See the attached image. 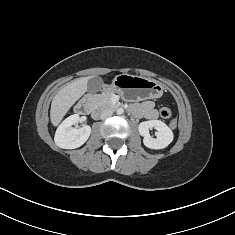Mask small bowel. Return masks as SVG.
<instances>
[{
    "mask_svg": "<svg viewBox=\"0 0 235 235\" xmlns=\"http://www.w3.org/2000/svg\"><path fill=\"white\" fill-rule=\"evenodd\" d=\"M133 112L136 116L143 117L148 120H153L157 117V111L155 110L154 103L152 101H144L136 104L133 107Z\"/></svg>",
    "mask_w": 235,
    "mask_h": 235,
    "instance_id": "obj_1",
    "label": "small bowel"
}]
</instances>
